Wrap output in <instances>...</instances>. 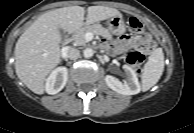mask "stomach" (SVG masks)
Wrapping results in <instances>:
<instances>
[{
  "instance_id": "0dacf381",
  "label": "stomach",
  "mask_w": 194,
  "mask_h": 133,
  "mask_svg": "<svg viewBox=\"0 0 194 133\" xmlns=\"http://www.w3.org/2000/svg\"><path fill=\"white\" fill-rule=\"evenodd\" d=\"M108 31L114 35H122L126 31V26L122 16H114L107 20Z\"/></svg>"
}]
</instances>
